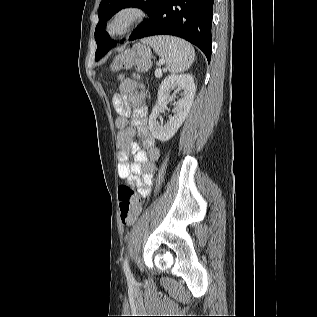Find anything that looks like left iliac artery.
I'll return each instance as SVG.
<instances>
[{"mask_svg":"<svg viewBox=\"0 0 317 317\" xmlns=\"http://www.w3.org/2000/svg\"><path fill=\"white\" fill-rule=\"evenodd\" d=\"M123 269H124V272H125V275L127 276V278L133 279V276H132L131 271L129 269L127 257L124 260Z\"/></svg>","mask_w":317,"mask_h":317,"instance_id":"left-iliac-artery-1","label":"left iliac artery"}]
</instances>
